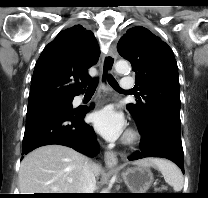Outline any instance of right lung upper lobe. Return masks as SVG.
<instances>
[{"label": "right lung upper lobe", "mask_w": 208, "mask_h": 198, "mask_svg": "<svg viewBox=\"0 0 208 198\" xmlns=\"http://www.w3.org/2000/svg\"><path fill=\"white\" fill-rule=\"evenodd\" d=\"M99 59L91 30L75 25L61 31L41 53L33 72L28 108L73 99L84 92L91 77L88 68Z\"/></svg>", "instance_id": "obj_1"}]
</instances>
